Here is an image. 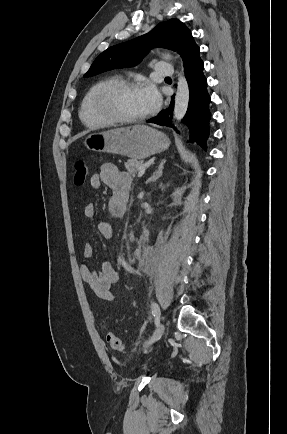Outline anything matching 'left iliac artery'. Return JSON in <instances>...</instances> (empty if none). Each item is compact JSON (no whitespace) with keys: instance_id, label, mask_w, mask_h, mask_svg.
<instances>
[{"instance_id":"1","label":"left iliac artery","mask_w":287,"mask_h":434,"mask_svg":"<svg viewBox=\"0 0 287 434\" xmlns=\"http://www.w3.org/2000/svg\"><path fill=\"white\" fill-rule=\"evenodd\" d=\"M151 310H152V315L155 318H159L160 317V309H159V306H158V304L156 302H152V304H151Z\"/></svg>"}]
</instances>
